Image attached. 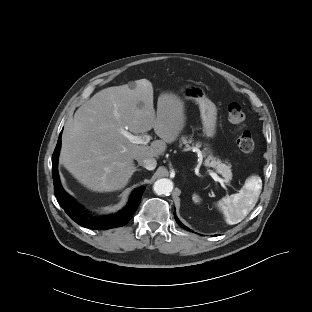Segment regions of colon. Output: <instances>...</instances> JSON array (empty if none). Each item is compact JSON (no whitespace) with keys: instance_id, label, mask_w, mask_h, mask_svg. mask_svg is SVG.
<instances>
[{"instance_id":"5ec220e1","label":"colon","mask_w":312,"mask_h":312,"mask_svg":"<svg viewBox=\"0 0 312 312\" xmlns=\"http://www.w3.org/2000/svg\"><path fill=\"white\" fill-rule=\"evenodd\" d=\"M228 120L237 129V146L244 153H252L255 148L252 134L245 128V113L237 102L230 103L227 109Z\"/></svg>"}]
</instances>
